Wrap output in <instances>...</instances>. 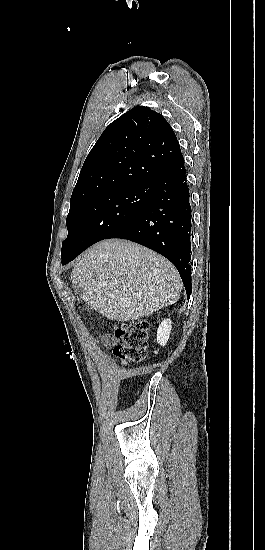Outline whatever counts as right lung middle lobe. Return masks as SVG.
<instances>
[{
  "instance_id": "dd1d6c3e",
  "label": "right lung middle lobe",
  "mask_w": 265,
  "mask_h": 550,
  "mask_svg": "<svg viewBox=\"0 0 265 550\" xmlns=\"http://www.w3.org/2000/svg\"><path fill=\"white\" fill-rule=\"evenodd\" d=\"M154 188V185L134 186L71 203L66 219L68 236L62 243V264L133 221L147 206Z\"/></svg>"
}]
</instances>
